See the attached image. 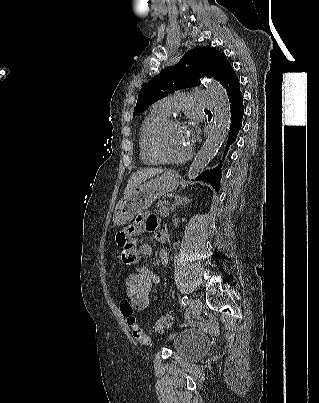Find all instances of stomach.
Instances as JSON below:
<instances>
[{
	"label": "stomach",
	"mask_w": 319,
	"mask_h": 403,
	"mask_svg": "<svg viewBox=\"0 0 319 403\" xmlns=\"http://www.w3.org/2000/svg\"><path fill=\"white\" fill-rule=\"evenodd\" d=\"M179 178L178 173L167 171L136 186L117 204L113 216L114 224L120 226L131 222L138 213L149 208L161 196L176 190Z\"/></svg>",
	"instance_id": "1"
}]
</instances>
